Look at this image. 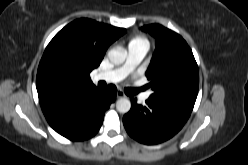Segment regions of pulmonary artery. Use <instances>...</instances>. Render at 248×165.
<instances>
[{
	"label": "pulmonary artery",
	"mask_w": 248,
	"mask_h": 165,
	"mask_svg": "<svg viewBox=\"0 0 248 165\" xmlns=\"http://www.w3.org/2000/svg\"><path fill=\"white\" fill-rule=\"evenodd\" d=\"M148 51V46L144 43H131L128 45L125 63L116 69L108 72L99 73L98 80H104L109 83H117L129 75L136 66L142 61ZM151 93L149 91L142 92L139 96L140 100L145 102L149 99Z\"/></svg>",
	"instance_id": "pulmonary-artery-1"
}]
</instances>
